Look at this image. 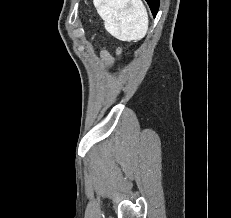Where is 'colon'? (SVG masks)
<instances>
[{
  "label": "colon",
  "mask_w": 231,
  "mask_h": 218,
  "mask_svg": "<svg viewBox=\"0 0 231 218\" xmlns=\"http://www.w3.org/2000/svg\"><path fill=\"white\" fill-rule=\"evenodd\" d=\"M120 52H121L120 49H118V50H117V53H120Z\"/></svg>",
  "instance_id": "5ec220e1"
}]
</instances>
